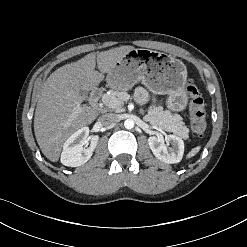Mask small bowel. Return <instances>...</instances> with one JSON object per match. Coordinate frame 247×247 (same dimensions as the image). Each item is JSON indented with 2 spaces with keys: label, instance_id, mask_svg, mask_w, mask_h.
<instances>
[{
  "label": "small bowel",
  "instance_id": "1",
  "mask_svg": "<svg viewBox=\"0 0 247 247\" xmlns=\"http://www.w3.org/2000/svg\"><path fill=\"white\" fill-rule=\"evenodd\" d=\"M135 97L140 104H143L148 100V93L144 88L140 87L136 90Z\"/></svg>",
  "mask_w": 247,
  "mask_h": 247
}]
</instances>
